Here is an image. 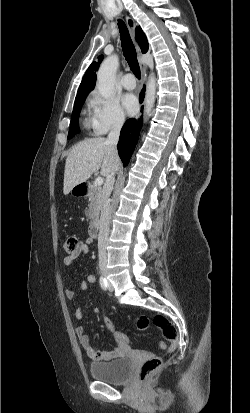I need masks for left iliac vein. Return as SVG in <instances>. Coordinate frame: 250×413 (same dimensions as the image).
<instances>
[{"instance_id":"1","label":"left iliac vein","mask_w":250,"mask_h":413,"mask_svg":"<svg viewBox=\"0 0 250 413\" xmlns=\"http://www.w3.org/2000/svg\"><path fill=\"white\" fill-rule=\"evenodd\" d=\"M109 290L112 291V286H111V284H109Z\"/></svg>"}]
</instances>
